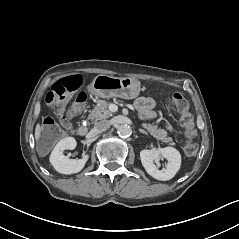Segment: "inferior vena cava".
I'll return each mask as SVG.
<instances>
[{
	"label": "inferior vena cava",
	"mask_w": 239,
	"mask_h": 239,
	"mask_svg": "<svg viewBox=\"0 0 239 239\" xmlns=\"http://www.w3.org/2000/svg\"><path fill=\"white\" fill-rule=\"evenodd\" d=\"M110 127L109 120H101L95 124V129L99 132L106 131Z\"/></svg>",
	"instance_id": "inferior-vena-cava-1"
}]
</instances>
